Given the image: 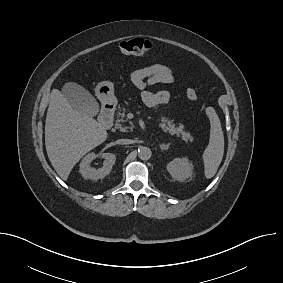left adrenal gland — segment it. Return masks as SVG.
I'll list each match as a JSON object with an SVG mask.
<instances>
[{"label":"left adrenal gland","instance_id":"left-adrenal-gland-1","mask_svg":"<svg viewBox=\"0 0 283 283\" xmlns=\"http://www.w3.org/2000/svg\"><path fill=\"white\" fill-rule=\"evenodd\" d=\"M160 146V149L162 150V151H164V150H168V148L170 147V144H160L159 145Z\"/></svg>","mask_w":283,"mask_h":283}]
</instances>
